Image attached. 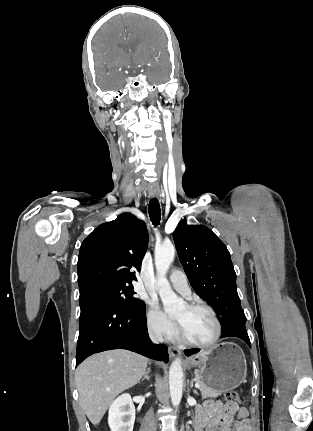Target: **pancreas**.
<instances>
[{"label": "pancreas", "mask_w": 313, "mask_h": 431, "mask_svg": "<svg viewBox=\"0 0 313 431\" xmlns=\"http://www.w3.org/2000/svg\"><path fill=\"white\" fill-rule=\"evenodd\" d=\"M195 375H197V373H195ZM196 381L200 383L199 390L201 391L202 398H208V397L216 398L222 394V392L220 391H215L208 388L205 384L202 383V381L197 376H196Z\"/></svg>", "instance_id": "obj_1"}]
</instances>
